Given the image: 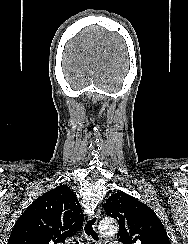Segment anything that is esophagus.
<instances>
[{
  "instance_id": "esophagus-1",
  "label": "esophagus",
  "mask_w": 188,
  "mask_h": 244,
  "mask_svg": "<svg viewBox=\"0 0 188 244\" xmlns=\"http://www.w3.org/2000/svg\"><path fill=\"white\" fill-rule=\"evenodd\" d=\"M100 209L90 215L83 225V233L89 244H100V236L97 231V222L99 219Z\"/></svg>"
}]
</instances>
